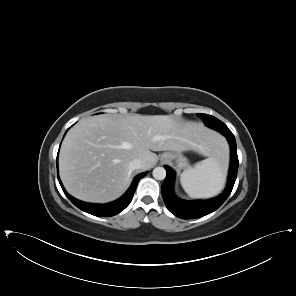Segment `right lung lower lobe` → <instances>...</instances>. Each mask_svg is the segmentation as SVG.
<instances>
[{
    "label": "right lung lower lobe",
    "instance_id": "98d812e1",
    "mask_svg": "<svg viewBox=\"0 0 296 296\" xmlns=\"http://www.w3.org/2000/svg\"><path fill=\"white\" fill-rule=\"evenodd\" d=\"M146 173L147 172H144V173H141L138 176H136L132 185L128 189V191L118 200L108 203V204H90V203H85V202L79 201V200L71 197L65 191V189L59 179V176H58V180H59V183H60L64 193L66 194V196L69 198V200L75 206H77L79 209H81L82 211L87 212L89 214H92L95 216L107 217V216H113V215L120 213L122 210H124L129 205V203L134 195V192L136 190L137 183L139 182V180L142 177H144L146 175Z\"/></svg>",
    "mask_w": 296,
    "mask_h": 296
}]
</instances>
